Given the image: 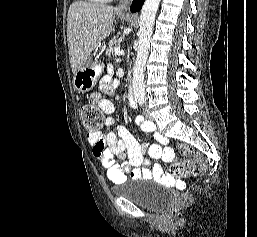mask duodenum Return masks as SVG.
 <instances>
[{
    "label": "duodenum",
    "instance_id": "410a0bca",
    "mask_svg": "<svg viewBox=\"0 0 257 237\" xmlns=\"http://www.w3.org/2000/svg\"><path fill=\"white\" fill-rule=\"evenodd\" d=\"M128 100L131 106H135L136 105V101H135V95H134V91L132 89V87H130L128 89Z\"/></svg>",
    "mask_w": 257,
    "mask_h": 237
}]
</instances>
